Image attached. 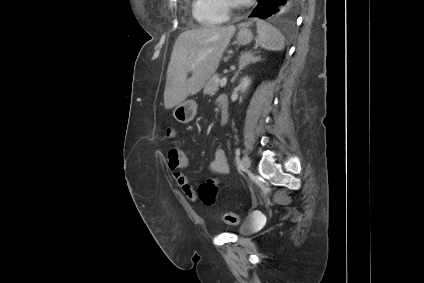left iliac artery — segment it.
Masks as SVG:
<instances>
[{"label": "left iliac artery", "mask_w": 424, "mask_h": 283, "mask_svg": "<svg viewBox=\"0 0 424 283\" xmlns=\"http://www.w3.org/2000/svg\"><path fill=\"white\" fill-rule=\"evenodd\" d=\"M240 153H241V152H240V149H239V148H237V149H236V151H235V154H236V157H237V158L240 156Z\"/></svg>", "instance_id": "obj_1"}]
</instances>
